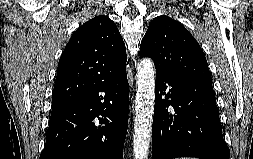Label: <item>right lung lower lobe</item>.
<instances>
[{"label": "right lung lower lobe", "mask_w": 253, "mask_h": 159, "mask_svg": "<svg viewBox=\"0 0 253 159\" xmlns=\"http://www.w3.org/2000/svg\"><path fill=\"white\" fill-rule=\"evenodd\" d=\"M128 110L124 70L52 111L39 159H123Z\"/></svg>", "instance_id": "right-lung-lower-lobe-1"}]
</instances>
